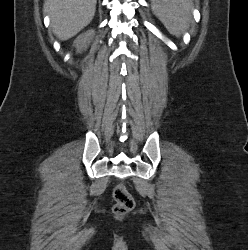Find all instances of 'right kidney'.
Segmentation results:
<instances>
[{
	"mask_svg": "<svg viewBox=\"0 0 248 250\" xmlns=\"http://www.w3.org/2000/svg\"><path fill=\"white\" fill-rule=\"evenodd\" d=\"M92 32H87L84 34L79 35L74 43L73 46L76 48L78 53H81V51L85 50L87 48V45L89 43V40L91 39Z\"/></svg>",
	"mask_w": 248,
	"mask_h": 250,
	"instance_id": "right-kidney-1",
	"label": "right kidney"
}]
</instances>
